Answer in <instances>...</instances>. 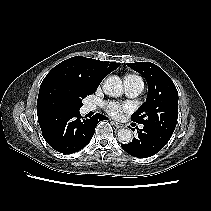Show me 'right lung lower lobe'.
<instances>
[{"mask_svg":"<svg viewBox=\"0 0 211 211\" xmlns=\"http://www.w3.org/2000/svg\"><path fill=\"white\" fill-rule=\"evenodd\" d=\"M103 119L107 117L102 114L82 119L79 110H57L38 116L46 142L64 154H72L84 148L94 135L97 123Z\"/></svg>","mask_w":211,"mask_h":211,"instance_id":"right-lung-lower-lobe-1","label":"right lung lower lobe"}]
</instances>
